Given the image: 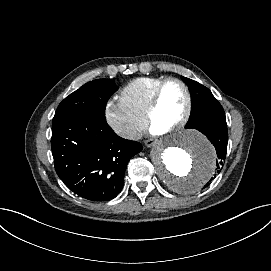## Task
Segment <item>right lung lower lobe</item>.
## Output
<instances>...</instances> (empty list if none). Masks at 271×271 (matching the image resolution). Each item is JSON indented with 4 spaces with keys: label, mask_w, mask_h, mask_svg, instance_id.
Wrapping results in <instances>:
<instances>
[{
    "label": "right lung lower lobe",
    "mask_w": 271,
    "mask_h": 271,
    "mask_svg": "<svg viewBox=\"0 0 271 271\" xmlns=\"http://www.w3.org/2000/svg\"><path fill=\"white\" fill-rule=\"evenodd\" d=\"M55 170L65 185L90 201H109L122 190L139 142L117 136L105 118L73 114L52 124Z\"/></svg>",
    "instance_id": "1"
}]
</instances>
